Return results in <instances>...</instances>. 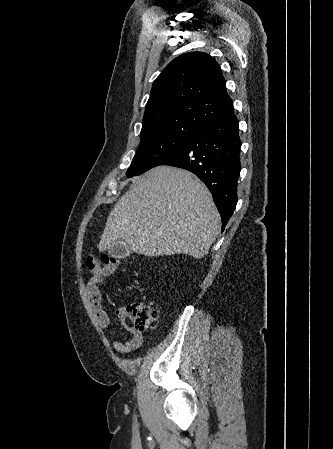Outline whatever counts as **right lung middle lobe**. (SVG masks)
Instances as JSON below:
<instances>
[{"label": "right lung middle lobe", "instance_id": "right-lung-middle-lobe-1", "mask_svg": "<svg viewBox=\"0 0 333 449\" xmlns=\"http://www.w3.org/2000/svg\"><path fill=\"white\" fill-rule=\"evenodd\" d=\"M201 129L190 123H173L141 133L140 146L127 170L128 177L155 167L166 155Z\"/></svg>", "mask_w": 333, "mask_h": 449}]
</instances>
